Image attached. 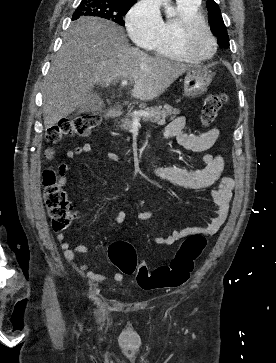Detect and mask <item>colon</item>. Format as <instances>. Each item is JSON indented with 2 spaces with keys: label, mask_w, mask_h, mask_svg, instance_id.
I'll list each match as a JSON object with an SVG mask.
<instances>
[{
  "label": "colon",
  "mask_w": 276,
  "mask_h": 363,
  "mask_svg": "<svg viewBox=\"0 0 276 363\" xmlns=\"http://www.w3.org/2000/svg\"><path fill=\"white\" fill-rule=\"evenodd\" d=\"M226 101L224 93L208 95L201 110V120L206 126L212 124ZM100 121L96 113H84L52 126L46 131V139L56 143L65 136L89 137ZM44 201L54 232H63L76 217L66 192L58 183V172L48 167L43 172ZM206 246L203 235L187 237L179 246L168 265L149 269L146 264L138 263L134 246L129 242L118 241L109 245L108 257L123 274H135L137 285L146 290L176 288L190 278L195 260Z\"/></svg>",
  "instance_id": "colon-1"
}]
</instances>
